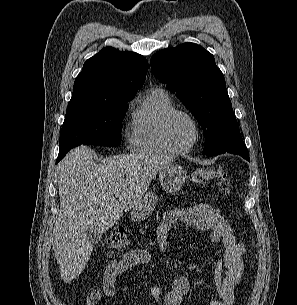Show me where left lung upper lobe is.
Wrapping results in <instances>:
<instances>
[{
  "mask_svg": "<svg viewBox=\"0 0 297 305\" xmlns=\"http://www.w3.org/2000/svg\"><path fill=\"white\" fill-rule=\"evenodd\" d=\"M153 74L184 103L204 128L203 154L248 152L240 135L226 83L212 54L200 45L184 43L155 53Z\"/></svg>",
  "mask_w": 297,
  "mask_h": 305,
  "instance_id": "obj_1",
  "label": "left lung upper lobe"
}]
</instances>
